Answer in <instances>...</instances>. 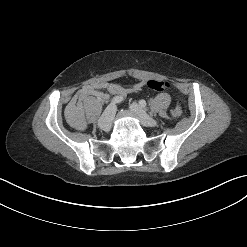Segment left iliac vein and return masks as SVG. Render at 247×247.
<instances>
[{
	"label": "left iliac vein",
	"instance_id": "4c4485c4",
	"mask_svg": "<svg viewBox=\"0 0 247 247\" xmlns=\"http://www.w3.org/2000/svg\"><path fill=\"white\" fill-rule=\"evenodd\" d=\"M131 111L137 116V118L141 121V123L147 127H155L157 125V121L151 118L138 103L133 102L130 105Z\"/></svg>",
	"mask_w": 247,
	"mask_h": 247
}]
</instances>
